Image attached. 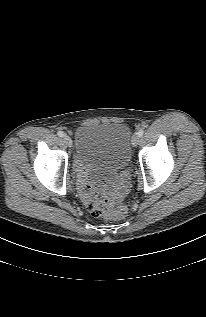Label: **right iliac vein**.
I'll return each instance as SVG.
<instances>
[{
  "label": "right iliac vein",
  "mask_w": 206,
  "mask_h": 317,
  "mask_svg": "<svg viewBox=\"0 0 206 317\" xmlns=\"http://www.w3.org/2000/svg\"><path fill=\"white\" fill-rule=\"evenodd\" d=\"M63 140L65 142V144L68 146V147H72V140L69 136L67 135H64L63 136Z\"/></svg>",
  "instance_id": "1"
}]
</instances>
